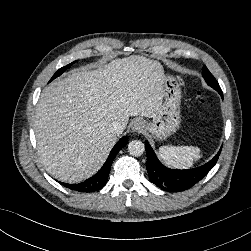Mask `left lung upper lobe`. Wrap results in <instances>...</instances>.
Wrapping results in <instances>:
<instances>
[{"mask_svg":"<svg viewBox=\"0 0 251 251\" xmlns=\"http://www.w3.org/2000/svg\"><path fill=\"white\" fill-rule=\"evenodd\" d=\"M203 77L207 84L211 86L212 88L215 87H220L219 84L217 83L216 79L213 77V75L209 72L206 66H203Z\"/></svg>","mask_w":251,"mask_h":251,"instance_id":"left-lung-upper-lobe-1","label":"left lung upper lobe"}]
</instances>
